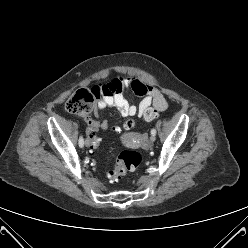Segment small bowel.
Instances as JSON below:
<instances>
[{"label":"small bowel","instance_id":"obj_1","mask_svg":"<svg viewBox=\"0 0 248 248\" xmlns=\"http://www.w3.org/2000/svg\"><path fill=\"white\" fill-rule=\"evenodd\" d=\"M107 87L112 88V90L110 91ZM99 88L104 92L96 102V108L98 110L115 107L124 117L135 115L143 117L145 111L150 107H153L159 112L166 110L168 107L166 99L156 87L138 78H113L107 84L100 85ZM126 90H131L136 95L143 96L138 106L134 105L125 97L124 92ZM85 121L89 128L96 130L99 128L106 129L108 127L106 121L100 122L88 117H85Z\"/></svg>","mask_w":248,"mask_h":248}]
</instances>
